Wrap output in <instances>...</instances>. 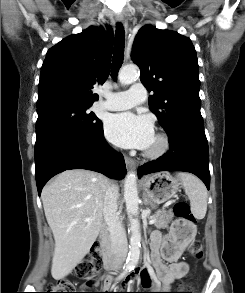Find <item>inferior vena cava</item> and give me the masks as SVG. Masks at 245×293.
I'll return each mask as SVG.
<instances>
[{
    "instance_id": "602c4592",
    "label": "inferior vena cava",
    "mask_w": 245,
    "mask_h": 293,
    "mask_svg": "<svg viewBox=\"0 0 245 293\" xmlns=\"http://www.w3.org/2000/svg\"><path fill=\"white\" fill-rule=\"evenodd\" d=\"M118 187L110 185L106 190L103 205L104 220L110 233L111 251L116 261L123 260L128 252L125 229L118 212Z\"/></svg>"
}]
</instances>
